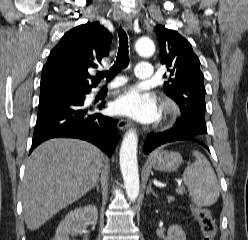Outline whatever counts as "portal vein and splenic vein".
Returning a JSON list of instances; mask_svg holds the SVG:
<instances>
[{"label": "portal vein and splenic vein", "instance_id": "portal-vein-and-splenic-vein-1", "mask_svg": "<svg viewBox=\"0 0 248 240\" xmlns=\"http://www.w3.org/2000/svg\"><path fill=\"white\" fill-rule=\"evenodd\" d=\"M159 185H161V184H159ZM176 191H177L178 193H180V194L183 193V189H182L181 187L177 188Z\"/></svg>", "mask_w": 248, "mask_h": 240}]
</instances>
